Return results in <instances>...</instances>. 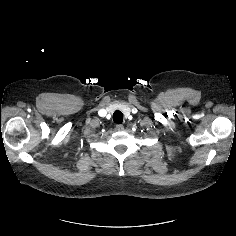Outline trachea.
<instances>
[{
  "instance_id": "3493384b",
  "label": "trachea",
  "mask_w": 236,
  "mask_h": 236,
  "mask_svg": "<svg viewBox=\"0 0 236 236\" xmlns=\"http://www.w3.org/2000/svg\"><path fill=\"white\" fill-rule=\"evenodd\" d=\"M113 121L117 124H121L123 122V113L121 111H115L113 114Z\"/></svg>"
}]
</instances>
